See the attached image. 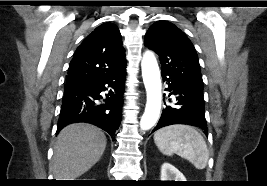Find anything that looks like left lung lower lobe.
I'll use <instances>...</instances> for the list:
<instances>
[{
	"label": "left lung lower lobe",
	"instance_id": "1",
	"mask_svg": "<svg viewBox=\"0 0 267 186\" xmlns=\"http://www.w3.org/2000/svg\"><path fill=\"white\" fill-rule=\"evenodd\" d=\"M162 78L168 82L166 90L170 92L169 96H174L175 103L172 106H165L152 132L168 125L186 124L196 126L208 135L203 91L166 73H162Z\"/></svg>",
	"mask_w": 267,
	"mask_h": 186
}]
</instances>
